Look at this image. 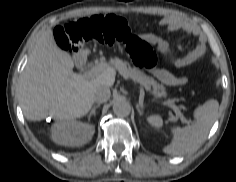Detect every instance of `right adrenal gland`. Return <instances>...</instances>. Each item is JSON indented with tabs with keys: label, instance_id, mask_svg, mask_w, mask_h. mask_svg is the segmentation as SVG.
Instances as JSON below:
<instances>
[{
	"label": "right adrenal gland",
	"instance_id": "right-adrenal-gland-1",
	"mask_svg": "<svg viewBox=\"0 0 236 182\" xmlns=\"http://www.w3.org/2000/svg\"><path fill=\"white\" fill-rule=\"evenodd\" d=\"M99 106H100V103H98V104H96V105L93 106V108L91 109V111H90V113H89L88 120H90V118H91L92 115H94V116L96 115L95 110H96Z\"/></svg>",
	"mask_w": 236,
	"mask_h": 182
}]
</instances>
